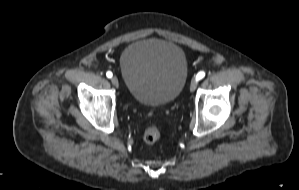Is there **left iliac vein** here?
Instances as JSON below:
<instances>
[{
  "label": "left iliac vein",
  "mask_w": 299,
  "mask_h": 190,
  "mask_svg": "<svg viewBox=\"0 0 299 190\" xmlns=\"http://www.w3.org/2000/svg\"><path fill=\"white\" fill-rule=\"evenodd\" d=\"M198 81L196 78L192 79L191 84H190V91L193 92L196 89Z\"/></svg>",
  "instance_id": "1"
}]
</instances>
